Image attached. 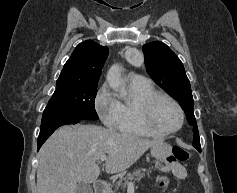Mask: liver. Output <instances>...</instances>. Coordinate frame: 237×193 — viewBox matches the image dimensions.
<instances>
[{
  "mask_svg": "<svg viewBox=\"0 0 237 193\" xmlns=\"http://www.w3.org/2000/svg\"><path fill=\"white\" fill-rule=\"evenodd\" d=\"M160 141L91 124L62 126L39 151L37 193H75L77 183L90 184L98 179L101 155L107 154L106 172L119 173Z\"/></svg>",
  "mask_w": 237,
  "mask_h": 193,
  "instance_id": "liver-1",
  "label": "liver"
}]
</instances>
